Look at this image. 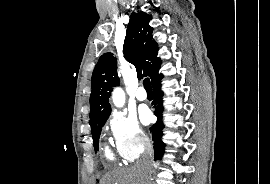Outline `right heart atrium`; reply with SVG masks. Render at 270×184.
Masks as SVG:
<instances>
[{"label": "right heart atrium", "instance_id": "d8ad5b80", "mask_svg": "<svg viewBox=\"0 0 270 184\" xmlns=\"http://www.w3.org/2000/svg\"><path fill=\"white\" fill-rule=\"evenodd\" d=\"M107 128L116 152L125 162L135 161L149 145L137 119L124 112H113L108 118Z\"/></svg>", "mask_w": 270, "mask_h": 184}]
</instances>
